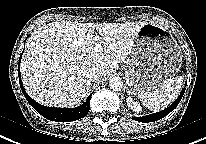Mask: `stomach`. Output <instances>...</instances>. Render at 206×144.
Here are the masks:
<instances>
[{"mask_svg":"<svg viewBox=\"0 0 206 144\" xmlns=\"http://www.w3.org/2000/svg\"><path fill=\"white\" fill-rule=\"evenodd\" d=\"M181 66V51L172 34L154 23H145L135 37L128 58V77L134 93L150 92L173 77Z\"/></svg>","mask_w":206,"mask_h":144,"instance_id":"stomach-1","label":"stomach"}]
</instances>
